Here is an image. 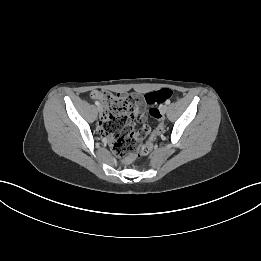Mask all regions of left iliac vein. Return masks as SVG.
I'll list each match as a JSON object with an SVG mask.
<instances>
[{"instance_id": "obj_1", "label": "left iliac vein", "mask_w": 261, "mask_h": 261, "mask_svg": "<svg viewBox=\"0 0 261 261\" xmlns=\"http://www.w3.org/2000/svg\"><path fill=\"white\" fill-rule=\"evenodd\" d=\"M168 110V106L167 105H162L161 108H160V111L162 114H165Z\"/></svg>"}]
</instances>
